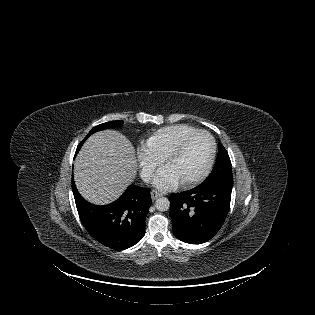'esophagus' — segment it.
Segmentation results:
<instances>
[{
  "mask_svg": "<svg viewBox=\"0 0 315 315\" xmlns=\"http://www.w3.org/2000/svg\"><path fill=\"white\" fill-rule=\"evenodd\" d=\"M161 196H163V194H162L161 192L157 191V190H153V191L151 192V198H152V200H156L157 198H159V197H161Z\"/></svg>",
  "mask_w": 315,
  "mask_h": 315,
  "instance_id": "34e87169",
  "label": "esophagus"
}]
</instances>
